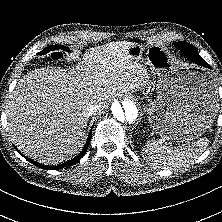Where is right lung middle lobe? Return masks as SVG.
Wrapping results in <instances>:
<instances>
[{
    "label": "right lung middle lobe",
    "mask_w": 222,
    "mask_h": 222,
    "mask_svg": "<svg viewBox=\"0 0 222 222\" xmlns=\"http://www.w3.org/2000/svg\"><path fill=\"white\" fill-rule=\"evenodd\" d=\"M48 48V47H47ZM55 49H62V50H64V51H69V49H67L66 47H64V46H62V45H59V46H56L55 45V47H54ZM46 48L42 51V52H44L45 51V53H46ZM48 52V51H47Z\"/></svg>",
    "instance_id": "dd1d6c3e"
}]
</instances>
